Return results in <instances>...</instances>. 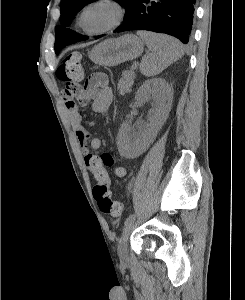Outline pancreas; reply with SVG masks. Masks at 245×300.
<instances>
[{"mask_svg":"<svg viewBox=\"0 0 245 300\" xmlns=\"http://www.w3.org/2000/svg\"><path fill=\"white\" fill-rule=\"evenodd\" d=\"M135 78L134 70H127L122 73V78L119 80L118 83V90L121 95L127 93L132 86Z\"/></svg>","mask_w":245,"mask_h":300,"instance_id":"pancreas-1","label":"pancreas"}]
</instances>
